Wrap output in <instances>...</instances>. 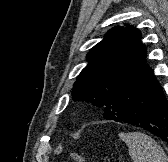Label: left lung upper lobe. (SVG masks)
<instances>
[{
	"instance_id": "obj_1",
	"label": "left lung upper lobe",
	"mask_w": 168,
	"mask_h": 162,
	"mask_svg": "<svg viewBox=\"0 0 168 162\" xmlns=\"http://www.w3.org/2000/svg\"><path fill=\"white\" fill-rule=\"evenodd\" d=\"M141 33L131 26H116L87 54L88 64L73 85L74 101L106 107L114 90L145 63L146 48Z\"/></svg>"
}]
</instances>
